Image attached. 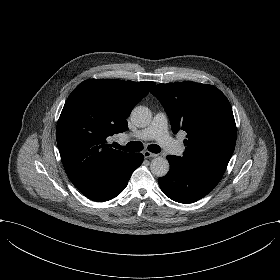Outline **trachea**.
Listing matches in <instances>:
<instances>
[{
    "mask_svg": "<svg viewBox=\"0 0 280 280\" xmlns=\"http://www.w3.org/2000/svg\"><path fill=\"white\" fill-rule=\"evenodd\" d=\"M115 148L123 149L126 152H140L143 150V144L140 141L129 142L125 147L116 144ZM148 151L152 153H159L160 147L156 144H151L147 147Z\"/></svg>",
    "mask_w": 280,
    "mask_h": 280,
    "instance_id": "trachea-1",
    "label": "trachea"
}]
</instances>
